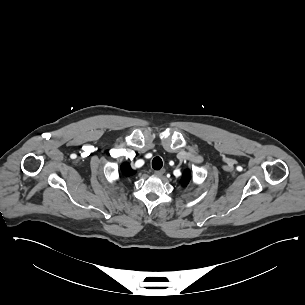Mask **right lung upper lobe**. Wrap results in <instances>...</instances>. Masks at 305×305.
I'll use <instances>...</instances> for the list:
<instances>
[{
	"instance_id": "cb5924a9",
	"label": "right lung upper lobe",
	"mask_w": 305,
	"mask_h": 305,
	"mask_svg": "<svg viewBox=\"0 0 305 305\" xmlns=\"http://www.w3.org/2000/svg\"><path fill=\"white\" fill-rule=\"evenodd\" d=\"M121 171L125 176H130L135 173V171L131 169L128 163H123L121 165Z\"/></svg>"
}]
</instances>
